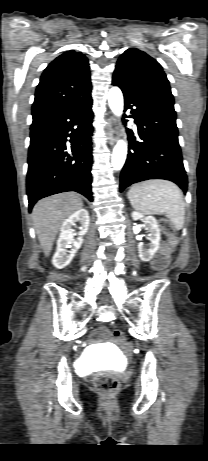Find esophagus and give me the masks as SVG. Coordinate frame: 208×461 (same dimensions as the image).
Instances as JSON below:
<instances>
[{
	"instance_id": "1",
	"label": "esophagus",
	"mask_w": 208,
	"mask_h": 461,
	"mask_svg": "<svg viewBox=\"0 0 208 461\" xmlns=\"http://www.w3.org/2000/svg\"><path fill=\"white\" fill-rule=\"evenodd\" d=\"M116 125L117 120L114 117H111L107 125V135L111 144H114L118 139V134L115 130Z\"/></svg>"
}]
</instances>
